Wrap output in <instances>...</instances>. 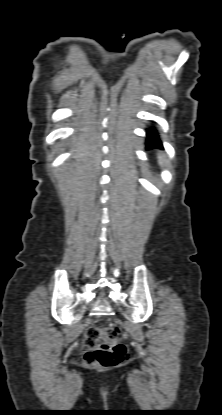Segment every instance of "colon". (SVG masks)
Masks as SVG:
<instances>
[{
	"label": "colon",
	"instance_id": "1",
	"mask_svg": "<svg viewBox=\"0 0 222 415\" xmlns=\"http://www.w3.org/2000/svg\"><path fill=\"white\" fill-rule=\"evenodd\" d=\"M119 333L114 325L88 327L84 337L88 347L84 354L85 363L106 368L121 365L128 356V350L118 340Z\"/></svg>",
	"mask_w": 222,
	"mask_h": 415
}]
</instances>
